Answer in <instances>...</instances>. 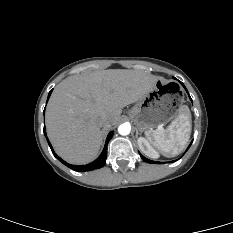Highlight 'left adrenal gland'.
Returning <instances> with one entry per match:
<instances>
[{"label":"left adrenal gland","instance_id":"a2214340","mask_svg":"<svg viewBox=\"0 0 233 233\" xmlns=\"http://www.w3.org/2000/svg\"><path fill=\"white\" fill-rule=\"evenodd\" d=\"M138 134H139V132H138V131H136V137H138Z\"/></svg>","mask_w":233,"mask_h":233}]
</instances>
